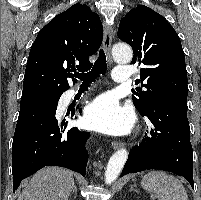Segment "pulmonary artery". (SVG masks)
Here are the masks:
<instances>
[{"instance_id": "1", "label": "pulmonary artery", "mask_w": 201, "mask_h": 200, "mask_svg": "<svg viewBox=\"0 0 201 200\" xmlns=\"http://www.w3.org/2000/svg\"><path fill=\"white\" fill-rule=\"evenodd\" d=\"M131 76V69L128 66L125 65H119L115 68V71L113 72V80L117 83H126L129 81ZM76 92L74 90H71L69 92L70 96H73Z\"/></svg>"}]
</instances>
